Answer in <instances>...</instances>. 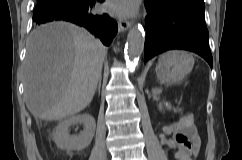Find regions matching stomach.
<instances>
[{"instance_id": "stomach-1", "label": "stomach", "mask_w": 242, "mask_h": 160, "mask_svg": "<svg viewBox=\"0 0 242 160\" xmlns=\"http://www.w3.org/2000/svg\"><path fill=\"white\" fill-rule=\"evenodd\" d=\"M194 65L193 56L186 51H172L159 58L155 68L157 77L165 83L180 82Z\"/></svg>"}]
</instances>
